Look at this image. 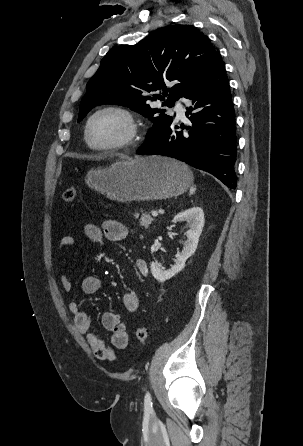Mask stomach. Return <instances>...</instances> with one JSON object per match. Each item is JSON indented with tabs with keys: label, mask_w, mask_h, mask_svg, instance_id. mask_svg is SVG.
Listing matches in <instances>:
<instances>
[{
	"label": "stomach",
	"mask_w": 303,
	"mask_h": 446,
	"mask_svg": "<svg viewBox=\"0 0 303 446\" xmlns=\"http://www.w3.org/2000/svg\"><path fill=\"white\" fill-rule=\"evenodd\" d=\"M192 173L184 163L161 156L118 161L107 168L91 169L87 185L119 202L158 200L184 193Z\"/></svg>",
	"instance_id": "stomach-1"
}]
</instances>
